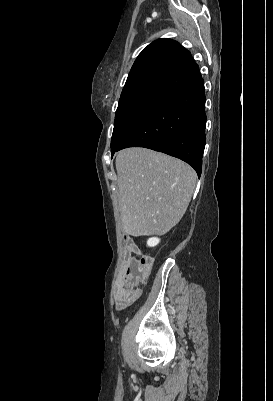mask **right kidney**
I'll list each match as a JSON object with an SVG mask.
<instances>
[{
    "label": "right kidney",
    "instance_id": "right-kidney-1",
    "mask_svg": "<svg viewBox=\"0 0 273 401\" xmlns=\"http://www.w3.org/2000/svg\"><path fill=\"white\" fill-rule=\"evenodd\" d=\"M158 243H160V239H157V237H152V239H148L147 247H156Z\"/></svg>",
    "mask_w": 273,
    "mask_h": 401
}]
</instances>
